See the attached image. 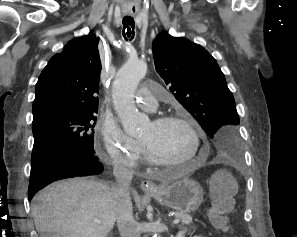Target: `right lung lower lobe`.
Listing matches in <instances>:
<instances>
[{
  "label": "right lung lower lobe",
  "instance_id": "98d812e1",
  "mask_svg": "<svg viewBox=\"0 0 297 237\" xmlns=\"http://www.w3.org/2000/svg\"><path fill=\"white\" fill-rule=\"evenodd\" d=\"M104 167L95 156L73 145H54L35 152L31 157L28 189L30 199L48 184L76 176L101 174Z\"/></svg>",
  "mask_w": 297,
  "mask_h": 237
}]
</instances>
